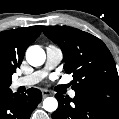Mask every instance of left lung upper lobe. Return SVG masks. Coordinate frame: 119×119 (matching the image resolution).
Instances as JSON below:
<instances>
[{
  "label": "left lung upper lobe",
  "mask_w": 119,
  "mask_h": 119,
  "mask_svg": "<svg viewBox=\"0 0 119 119\" xmlns=\"http://www.w3.org/2000/svg\"><path fill=\"white\" fill-rule=\"evenodd\" d=\"M43 32L61 48L64 70L73 74L75 92L119 97L116 65L103 41L67 26H45Z\"/></svg>",
  "instance_id": "1"
}]
</instances>
